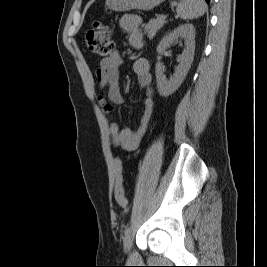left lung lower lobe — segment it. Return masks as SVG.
Segmentation results:
<instances>
[{"label": "left lung lower lobe", "instance_id": "left-lung-lower-lobe-1", "mask_svg": "<svg viewBox=\"0 0 267 267\" xmlns=\"http://www.w3.org/2000/svg\"><path fill=\"white\" fill-rule=\"evenodd\" d=\"M208 4L210 3V0H205Z\"/></svg>", "mask_w": 267, "mask_h": 267}]
</instances>
